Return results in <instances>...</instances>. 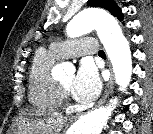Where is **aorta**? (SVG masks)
<instances>
[{"label":"aorta","mask_w":153,"mask_h":134,"mask_svg":"<svg viewBox=\"0 0 153 134\" xmlns=\"http://www.w3.org/2000/svg\"><path fill=\"white\" fill-rule=\"evenodd\" d=\"M96 30L112 63L115 81L121 90L129 85L132 75V57L129 42L124 37L117 21L98 9H86L74 16L67 25L69 37H79ZM69 68L66 63L57 65V70ZM117 98L110 104L95 109L78 119L71 128V134H101L106 126Z\"/></svg>","instance_id":"aorta-1"}]
</instances>
